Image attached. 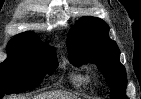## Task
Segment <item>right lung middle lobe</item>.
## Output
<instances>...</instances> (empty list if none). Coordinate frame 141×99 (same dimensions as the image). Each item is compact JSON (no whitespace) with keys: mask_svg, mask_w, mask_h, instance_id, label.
Segmentation results:
<instances>
[{"mask_svg":"<svg viewBox=\"0 0 141 99\" xmlns=\"http://www.w3.org/2000/svg\"><path fill=\"white\" fill-rule=\"evenodd\" d=\"M7 52V59L0 65V98L37 86L58 66L55 49L47 45L9 42Z\"/></svg>","mask_w":141,"mask_h":99,"instance_id":"obj_1","label":"right lung middle lobe"}]
</instances>
